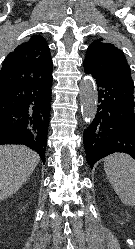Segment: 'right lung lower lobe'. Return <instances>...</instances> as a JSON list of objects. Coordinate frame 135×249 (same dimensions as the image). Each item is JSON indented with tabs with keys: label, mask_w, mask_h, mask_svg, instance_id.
Instances as JSON below:
<instances>
[{
	"label": "right lung lower lobe",
	"mask_w": 135,
	"mask_h": 249,
	"mask_svg": "<svg viewBox=\"0 0 135 249\" xmlns=\"http://www.w3.org/2000/svg\"><path fill=\"white\" fill-rule=\"evenodd\" d=\"M52 80L0 87V145H26L44 163Z\"/></svg>",
	"instance_id": "obj_1"
}]
</instances>
